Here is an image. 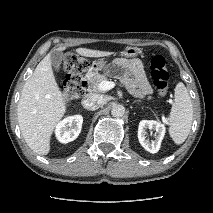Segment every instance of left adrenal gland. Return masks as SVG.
<instances>
[{"mask_svg": "<svg viewBox=\"0 0 213 213\" xmlns=\"http://www.w3.org/2000/svg\"><path fill=\"white\" fill-rule=\"evenodd\" d=\"M135 103H140L139 101H134Z\"/></svg>", "mask_w": 213, "mask_h": 213, "instance_id": "obj_1", "label": "left adrenal gland"}]
</instances>
